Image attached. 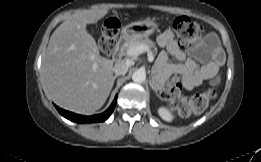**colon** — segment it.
I'll return each instance as SVG.
<instances>
[{
  "label": "colon",
  "instance_id": "1",
  "mask_svg": "<svg viewBox=\"0 0 261 162\" xmlns=\"http://www.w3.org/2000/svg\"><path fill=\"white\" fill-rule=\"evenodd\" d=\"M118 28L119 25L115 19H110L103 25L100 48L104 53H110L114 49ZM173 29L182 43L198 39L202 34L201 26L185 16L178 17L174 20ZM214 96L215 90L209 88L202 94H197L190 98L185 97L182 94V84L179 77H172L161 93V97L170 101L184 116L191 112H204L208 107L209 100Z\"/></svg>",
  "mask_w": 261,
  "mask_h": 162
}]
</instances>
